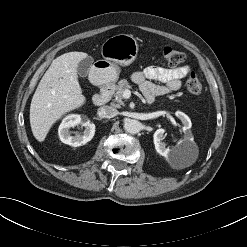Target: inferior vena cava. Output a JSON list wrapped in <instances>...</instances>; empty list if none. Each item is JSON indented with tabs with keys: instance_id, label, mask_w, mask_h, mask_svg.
<instances>
[{
	"instance_id": "602c4592",
	"label": "inferior vena cava",
	"mask_w": 247,
	"mask_h": 247,
	"mask_svg": "<svg viewBox=\"0 0 247 247\" xmlns=\"http://www.w3.org/2000/svg\"><path fill=\"white\" fill-rule=\"evenodd\" d=\"M98 113L101 117L113 118V117L117 116L118 111L114 107L106 105V106L100 107L98 109Z\"/></svg>"
}]
</instances>
